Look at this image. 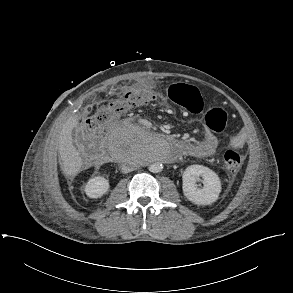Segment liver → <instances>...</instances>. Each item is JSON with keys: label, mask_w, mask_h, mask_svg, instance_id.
<instances>
[{"label": "liver", "mask_w": 293, "mask_h": 293, "mask_svg": "<svg viewBox=\"0 0 293 293\" xmlns=\"http://www.w3.org/2000/svg\"><path fill=\"white\" fill-rule=\"evenodd\" d=\"M78 126V117L71 116L63 124L59 134V157L61 170L65 176H75L82 167L80 153L73 145L72 131Z\"/></svg>", "instance_id": "liver-1"}]
</instances>
